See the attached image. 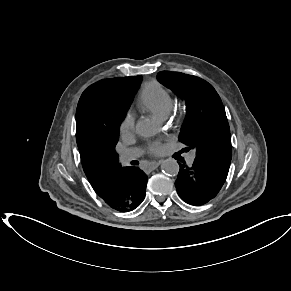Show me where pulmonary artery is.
<instances>
[{
    "instance_id": "obj_1",
    "label": "pulmonary artery",
    "mask_w": 291,
    "mask_h": 291,
    "mask_svg": "<svg viewBox=\"0 0 291 291\" xmlns=\"http://www.w3.org/2000/svg\"><path fill=\"white\" fill-rule=\"evenodd\" d=\"M140 155V151L137 150V149H131V150H128L124 153H122L120 155V160L123 164H127L129 163L130 161L136 159L137 157H139ZM194 158H195V154L194 153H191L188 158H187V163L188 164H192L193 161H194Z\"/></svg>"
}]
</instances>
